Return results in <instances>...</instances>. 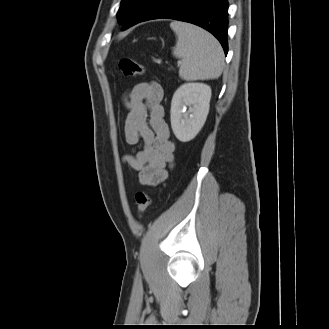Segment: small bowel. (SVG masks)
<instances>
[{
	"instance_id": "small-bowel-1",
	"label": "small bowel",
	"mask_w": 329,
	"mask_h": 329,
	"mask_svg": "<svg viewBox=\"0 0 329 329\" xmlns=\"http://www.w3.org/2000/svg\"><path fill=\"white\" fill-rule=\"evenodd\" d=\"M163 88L157 82H143L132 87L123 97L127 110L124 135L128 144L142 141L144 146L123 161L138 172L139 182L155 186L166 180L174 164L175 146L170 139L162 106Z\"/></svg>"
}]
</instances>
